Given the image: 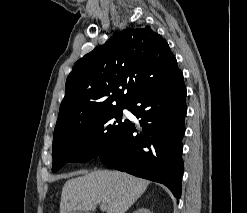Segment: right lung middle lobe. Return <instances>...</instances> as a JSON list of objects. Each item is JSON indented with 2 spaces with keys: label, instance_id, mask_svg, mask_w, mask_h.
I'll use <instances>...</instances> for the list:
<instances>
[{
  "label": "right lung middle lobe",
  "instance_id": "1",
  "mask_svg": "<svg viewBox=\"0 0 247 213\" xmlns=\"http://www.w3.org/2000/svg\"><path fill=\"white\" fill-rule=\"evenodd\" d=\"M129 104L116 106L102 112L89 122L53 137V167L59 170L68 162H85L112 149L118 135L128 123L122 110Z\"/></svg>",
  "mask_w": 247,
  "mask_h": 213
}]
</instances>
